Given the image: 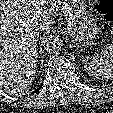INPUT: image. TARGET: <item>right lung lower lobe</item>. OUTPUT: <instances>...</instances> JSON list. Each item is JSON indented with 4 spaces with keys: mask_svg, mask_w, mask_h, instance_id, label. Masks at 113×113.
Returning a JSON list of instances; mask_svg holds the SVG:
<instances>
[{
    "mask_svg": "<svg viewBox=\"0 0 113 113\" xmlns=\"http://www.w3.org/2000/svg\"><path fill=\"white\" fill-rule=\"evenodd\" d=\"M39 90V88H37V90L35 92H37Z\"/></svg>",
    "mask_w": 113,
    "mask_h": 113,
    "instance_id": "98d812e1",
    "label": "right lung lower lobe"
}]
</instances>
